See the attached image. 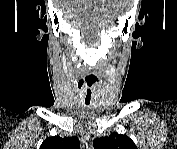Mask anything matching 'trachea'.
Segmentation results:
<instances>
[{
    "instance_id": "1",
    "label": "trachea",
    "mask_w": 177,
    "mask_h": 149,
    "mask_svg": "<svg viewBox=\"0 0 177 149\" xmlns=\"http://www.w3.org/2000/svg\"><path fill=\"white\" fill-rule=\"evenodd\" d=\"M87 98L89 99V101H87ZM90 98H91V91H88V93L86 94V97H85V104L86 105H90Z\"/></svg>"
}]
</instances>
